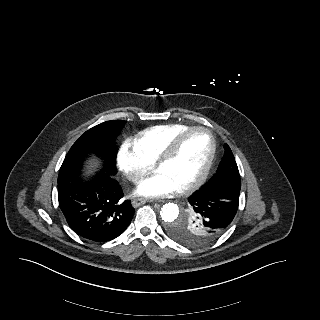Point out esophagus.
<instances>
[{
	"instance_id": "1",
	"label": "esophagus",
	"mask_w": 320,
	"mask_h": 320,
	"mask_svg": "<svg viewBox=\"0 0 320 320\" xmlns=\"http://www.w3.org/2000/svg\"><path fill=\"white\" fill-rule=\"evenodd\" d=\"M146 202H149V200L145 198H136L133 200L132 204L134 207H138L142 204H145Z\"/></svg>"
}]
</instances>
